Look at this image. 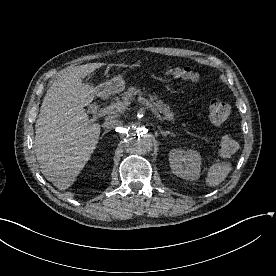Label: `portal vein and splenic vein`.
<instances>
[{"label":"portal vein and splenic vein","instance_id":"18ae733b","mask_svg":"<svg viewBox=\"0 0 276 276\" xmlns=\"http://www.w3.org/2000/svg\"><path fill=\"white\" fill-rule=\"evenodd\" d=\"M138 101L146 106L147 108H149L151 110V112L159 119V120H162V117L161 115L157 112V110L154 108V106L148 101L146 100L145 98H142L140 97L138 99ZM130 103H125V102H117V103H113L109 106H107L106 108H103L101 109V112H100V116H104L106 114H116V113H120V112H123L127 109V106L129 105Z\"/></svg>","mask_w":276,"mask_h":276}]
</instances>
